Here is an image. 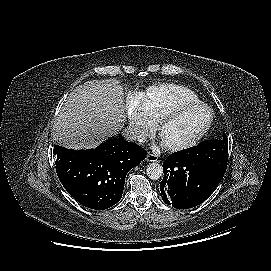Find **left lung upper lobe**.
<instances>
[{
	"instance_id": "left-lung-upper-lobe-1",
	"label": "left lung upper lobe",
	"mask_w": 271,
	"mask_h": 271,
	"mask_svg": "<svg viewBox=\"0 0 271 271\" xmlns=\"http://www.w3.org/2000/svg\"><path fill=\"white\" fill-rule=\"evenodd\" d=\"M179 153L225 173L228 158V138L224 133L217 140L203 141L197 146L181 150Z\"/></svg>"
}]
</instances>
